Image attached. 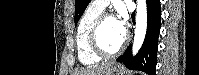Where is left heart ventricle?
<instances>
[{
  "label": "left heart ventricle",
  "mask_w": 199,
  "mask_h": 75,
  "mask_svg": "<svg viewBox=\"0 0 199 75\" xmlns=\"http://www.w3.org/2000/svg\"><path fill=\"white\" fill-rule=\"evenodd\" d=\"M124 34L119 30L114 17L104 21L100 30V42L106 50L116 49L123 41Z\"/></svg>",
  "instance_id": "left-heart-ventricle-1"
}]
</instances>
